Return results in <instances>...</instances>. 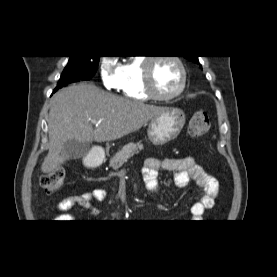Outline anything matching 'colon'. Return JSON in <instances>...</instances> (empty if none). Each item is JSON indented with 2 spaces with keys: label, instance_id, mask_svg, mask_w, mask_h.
<instances>
[{
  "label": "colon",
  "instance_id": "obj_1",
  "mask_svg": "<svg viewBox=\"0 0 277 277\" xmlns=\"http://www.w3.org/2000/svg\"><path fill=\"white\" fill-rule=\"evenodd\" d=\"M210 130V120L205 112L194 113L188 123V132L192 138L205 136ZM65 171L61 167L53 169L40 178V186L46 191H55L62 187Z\"/></svg>",
  "mask_w": 277,
  "mask_h": 277
}]
</instances>
